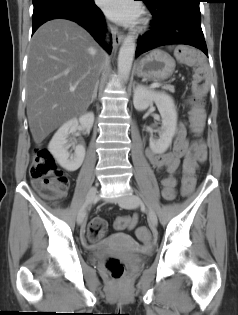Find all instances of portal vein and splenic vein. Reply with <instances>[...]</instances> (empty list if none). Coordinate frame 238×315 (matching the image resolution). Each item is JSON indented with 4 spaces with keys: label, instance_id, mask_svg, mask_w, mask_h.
<instances>
[{
    "label": "portal vein and splenic vein",
    "instance_id": "portal-vein-and-splenic-vein-1",
    "mask_svg": "<svg viewBox=\"0 0 238 315\" xmlns=\"http://www.w3.org/2000/svg\"><path fill=\"white\" fill-rule=\"evenodd\" d=\"M158 86H160V83H153V84L151 85L152 88L158 87ZM69 90H70L71 92H73V91H75V87H70Z\"/></svg>",
    "mask_w": 238,
    "mask_h": 315
}]
</instances>
